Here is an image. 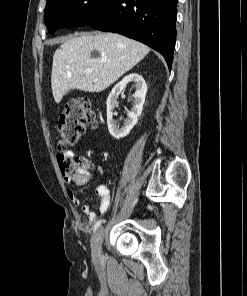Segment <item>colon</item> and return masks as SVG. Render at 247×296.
<instances>
[{"instance_id":"obj_1","label":"colon","mask_w":247,"mask_h":296,"mask_svg":"<svg viewBox=\"0 0 247 296\" xmlns=\"http://www.w3.org/2000/svg\"><path fill=\"white\" fill-rule=\"evenodd\" d=\"M87 126H98V118L90 100L77 98L66 103L57 126L59 136L57 158L61 172L79 183H84L88 179L87 158L69 156L66 149L80 141Z\"/></svg>"}]
</instances>
